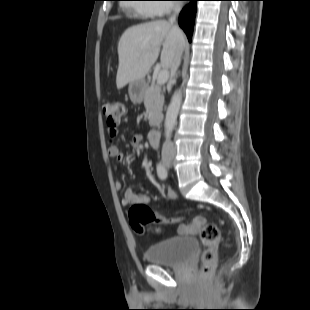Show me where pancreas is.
<instances>
[{"mask_svg":"<svg viewBox=\"0 0 310 310\" xmlns=\"http://www.w3.org/2000/svg\"><path fill=\"white\" fill-rule=\"evenodd\" d=\"M163 104L164 94L161 87L158 85L148 86L144 93V106L151 127L158 126L162 121Z\"/></svg>","mask_w":310,"mask_h":310,"instance_id":"1","label":"pancreas"}]
</instances>
